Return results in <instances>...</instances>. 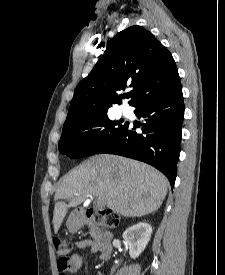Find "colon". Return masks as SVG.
<instances>
[{
    "label": "colon",
    "mask_w": 225,
    "mask_h": 275,
    "mask_svg": "<svg viewBox=\"0 0 225 275\" xmlns=\"http://www.w3.org/2000/svg\"><path fill=\"white\" fill-rule=\"evenodd\" d=\"M92 220L95 224L103 228H115L119 224V215L111 210H101L92 215ZM53 246L56 254L59 255L57 261L58 271L60 275H67L71 270L67 255L72 249V243L61 238H54Z\"/></svg>",
    "instance_id": "5ec220e1"
}]
</instances>
